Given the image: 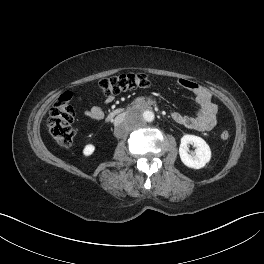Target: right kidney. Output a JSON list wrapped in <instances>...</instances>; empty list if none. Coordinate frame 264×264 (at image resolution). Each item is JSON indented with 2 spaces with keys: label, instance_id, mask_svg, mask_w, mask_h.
Listing matches in <instances>:
<instances>
[{
  "label": "right kidney",
  "instance_id": "ca27d5eb",
  "mask_svg": "<svg viewBox=\"0 0 264 264\" xmlns=\"http://www.w3.org/2000/svg\"><path fill=\"white\" fill-rule=\"evenodd\" d=\"M95 151V146L92 144H87L83 149V154L85 156H90Z\"/></svg>",
  "mask_w": 264,
  "mask_h": 264
}]
</instances>
